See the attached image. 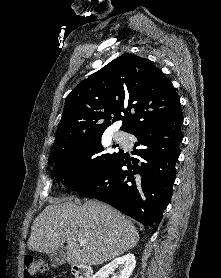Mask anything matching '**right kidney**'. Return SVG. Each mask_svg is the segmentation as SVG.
I'll return each mask as SVG.
<instances>
[{
    "instance_id": "1",
    "label": "right kidney",
    "mask_w": 221,
    "mask_h": 278,
    "mask_svg": "<svg viewBox=\"0 0 221 278\" xmlns=\"http://www.w3.org/2000/svg\"><path fill=\"white\" fill-rule=\"evenodd\" d=\"M135 265V256L133 254H126L102 267L93 278H108L109 274L115 269H118V272L113 278H129L132 275Z\"/></svg>"
}]
</instances>
